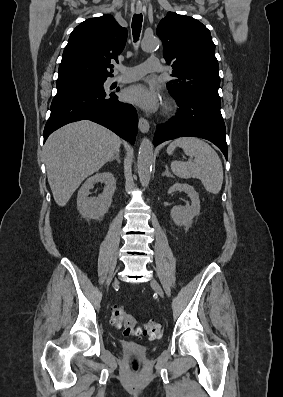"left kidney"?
Wrapping results in <instances>:
<instances>
[{"label": "left kidney", "mask_w": 283, "mask_h": 397, "mask_svg": "<svg viewBox=\"0 0 283 397\" xmlns=\"http://www.w3.org/2000/svg\"><path fill=\"white\" fill-rule=\"evenodd\" d=\"M176 191L187 193L190 197L191 205H186L185 207L174 206L170 212L171 219L178 226H190L193 218L200 213L199 194L194 190L193 186L179 183L171 186L168 194Z\"/></svg>", "instance_id": "1"}]
</instances>
